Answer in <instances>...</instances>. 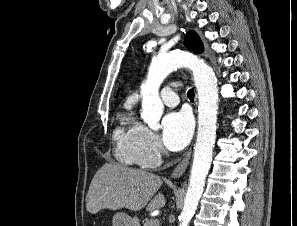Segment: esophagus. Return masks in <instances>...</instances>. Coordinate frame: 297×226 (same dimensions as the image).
I'll use <instances>...</instances> for the list:
<instances>
[{
	"mask_svg": "<svg viewBox=\"0 0 297 226\" xmlns=\"http://www.w3.org/2000/svg\"><path fill=\"white\" fill-rule=\"evenodd\" d=\"M191 157V149L186 153L182 161L175 167L173 170L171 177L172 178H179L185 172Z\"/></svg>",
	"mask_w": 297,
	"mask_h": 226,
	"instance_id": "esophagus-1",
	"label": "esophagus"
}]
</instances>
